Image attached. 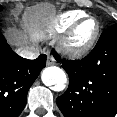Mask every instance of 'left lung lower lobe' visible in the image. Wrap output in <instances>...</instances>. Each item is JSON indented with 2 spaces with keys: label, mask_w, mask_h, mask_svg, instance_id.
Instances as JSON below:
<instances>
[{
  "label": "left lung lower lobe",
  "mask_w": 117,
  "mask_h": 117,
  "mask_svg": "<svg viewBox=\"0 0 117 117\" xmlns=\"http://www.w3.org/2000/svg\"><path fill=\"white\" fill-rule=\"evenodd\" d=\"M56 60L69 76L67 91L56 99L65 117L117 114V24L106 29L82 60Z\"/></svg>",
  "instance_id": "1"
}]
</instances>
